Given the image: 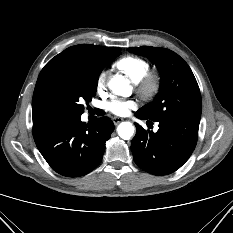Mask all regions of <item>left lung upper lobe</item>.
Masks as SVG:
<instances>
[{
    "mask_svg": "<svg viewBox=\"0 0 233 233\" xmlns=\"http://www.w3.org/2000/svg\"><path fill=\"white\" fill-rule=\"evenodd\" d=\"M148 57L159 69L160 91L154 101L137 111L145 119L159 121L171 117H201V95L188 64L175 52L149 46L128 48Z\"/></svg>",
    "mask_w": 233,
    "mask_h": 233,
    "instance_id": "1",
    "label": "left lung upper lobe"
}]
</instances>
